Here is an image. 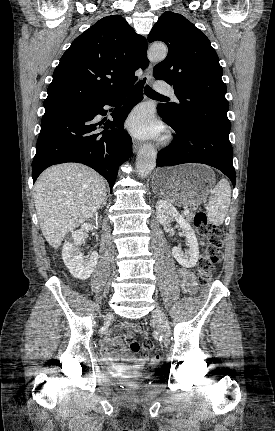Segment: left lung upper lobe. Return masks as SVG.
<instances>
[{
    "mask_svg": "<svg viewBox=\"0 0 275 431\" xmlns=\"http://www.w3.org/2000/svg\"><path fill=\"white\" fill-rule=\"evenodd\" d=\"M149 42L168 46L166 59L153 69L155 79L174 86L179 103L158 105L177 125H201L230 130L223 69L209 39L184 16L163 13L148 35Z\"/></svg>",
    "mask_w": 275,
    "mask_h": 431,
    "instance_id": "5c2ea615",
    "label": "left lung upper lobe"
}]
</instances>
